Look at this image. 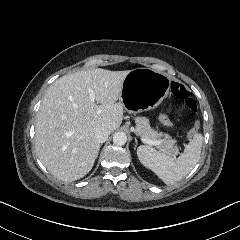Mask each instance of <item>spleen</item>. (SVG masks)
Wrapping results in <instances>:
<instances>
[{
  "instance_id": "obj_1",
  "label": "spleen",
  "mask_w": 240,
  "mask_h": 240,
  "mask_svg": "<svg viewBox=\"0 0 240 240\" xmlns=\"http://www.w3.org/2000/svg\"><path fill=\"white\" fill-rule=\"evenodd\" d=\"M203 136L196 134L177 160L151 146H140L138 157L148 168L154 170L166 184H174L195 167L201 157Z\"/></svg>"
}]
</instances>
